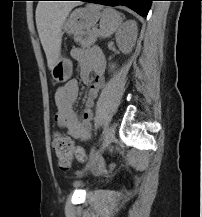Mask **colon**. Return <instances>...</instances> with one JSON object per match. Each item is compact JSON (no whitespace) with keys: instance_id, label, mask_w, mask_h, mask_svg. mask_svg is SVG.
<instances>
[{"instance_id":"obj_1","label":"colon","mask_w":202,"mask_h":217,"mask_svg":"<svg viewBox=\"0 0 202 217\" xmlns=\"http://www.w3.org/2000/svg\"><path fill=\"white\" fill-rule=\"evenodd\" d=\"M52 148L58 165L61 169L67 170L73 158L79 162L86 160L84 149L80 146H73L69 136L63 133H56L52 140Z\"/></svg>"}]
</instances>
